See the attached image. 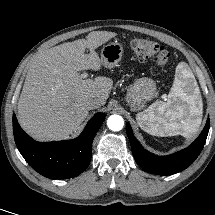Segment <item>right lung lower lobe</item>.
<instances>
[{"label":"right lung lower lobe","instance_id":"obj_1","mask_svg":"<svg viewBox=\"0 0 215 215\" xmlns=\"http://www.w3.org/2000/svg\"><path fill=\"white\" fill-rule=\"evenodd\" d=\"M105 117L106 114L97 113L76 139L37 142L22 130L14 114L15 142L24 159L41 175L51 179L75 177L88 167L93 138Z\"/></svg>","mask_w":215,"mask_h":215}]
</instances>
